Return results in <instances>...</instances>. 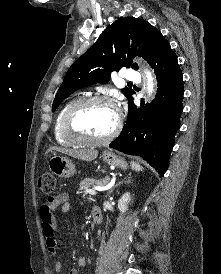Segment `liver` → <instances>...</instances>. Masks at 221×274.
<instances>
[{"instance_id":"obj_1","label":"liver","mask_w":221,"mask_h":274,"mask_svg":"<svg viewBox=\"0 0 221 274\" xmlns=\"http://www.w3.org/2000/svg\"><path fill=\"white\" fill-rule=\"evenodd\" d=\"M50 151H57L63 154H67L69 156L80 159L82 161H92L96 159L98 156V151L95 150L94 148L74 150V149L61 148V147L54 146V147H50L47 153Z\"/></svg>"}]
</instances>
